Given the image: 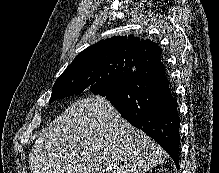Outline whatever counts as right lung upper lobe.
<instances>
[{"label":"right lung upper lobe","instance_id":"cb5924a9","mask_svg":"<svg viewBox=\"0 0 219 173\" xmlns=\"http://www.w3.org/2000/svg\"><path fill=\"white\" fill-rule=\"evenodd\" d=\"M161 52V48L156 43L133 35L112 37L101 40L82 51L62 75L66 72L82 71L114 62L128 63L135 69L149 60L161 61Z\"/></svg>","mask_w":219,"mask_h":173}]
</instances>
